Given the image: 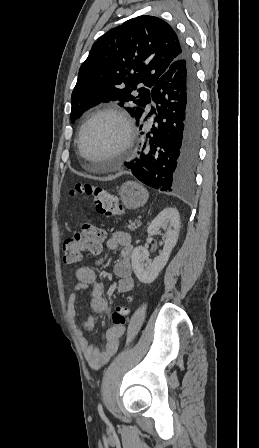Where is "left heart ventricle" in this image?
Returning <instances> with one entry per match:
<instances>
[{
	"label": "left heart ventricle",
	"mask_w": 259,
	"mask_h": 448,
	"mask_svg": "<svg viewBox=\"0 0 259 448\" xmlns=\"http://www.w3.org/2000/svg\"><path fill=\"white\" fill-rule=\"evenodd\" d=\"M122 135V125L112 116H102L92 121L81 139V159L86 162H106L112 157V148Z\"/></svg>",
	"instance_id": "left-heart-ventricle-1"
}]
</instances>
